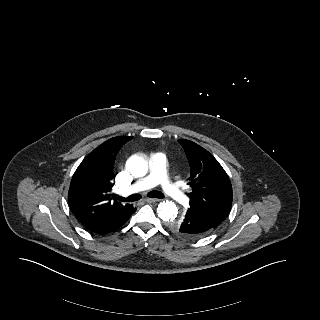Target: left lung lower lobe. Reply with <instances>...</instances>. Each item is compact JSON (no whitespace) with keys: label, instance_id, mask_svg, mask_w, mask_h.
<instances>
[{"label":"left lung lower lobe","instance_id":"1","mask_svg":"<svg viewBox=\"0 0 320 320\" xmlns=\"http://www.w3.org/2000/svg\"><path fill=\"white\" fill-rule=\"evenodd\" d=\"M180 224L179 232L191 239L202 237L216 228L205 218L189 210H187L186 214L180 220ZM170 229L174 232L171 224Z\"/></svg>","mask_w":320,"mask_h":320}]
</instances>
